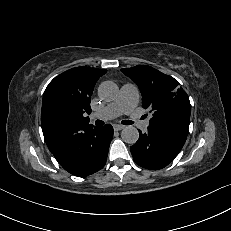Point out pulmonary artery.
Listing matches in <instances>:
<instances>
[{"label": "pulmonary artery", "mask_w": 231, "mask_h": 231, "mask_svg": "<svg viewBox=\"0 0 231 231\" xmlns=\"http://www.w3.org/2000/svg\"><path fill=\"white\" fill-rule=\"evenodd\" d=\"M139 100V92L135 85L133 84H124L118 96L114 101L107 104L101 110L94 112L92 114L93 119H113L119 115L127 114L130 115L131 118L136 119L135 108L137 106ZM137 126L141 130H146L149 121L148 120H136Z\"/></svg>", "instance_id": "1"}]
</instances>
